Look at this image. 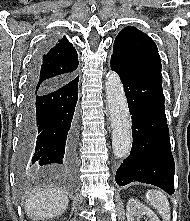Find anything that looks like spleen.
I'll return each mask as SVG.
<instances>
[{"instance_id":"3e777b00","label":"spleen","mask_w":190,"mask_h":221,"mask_svg":"<svg viewBox=\"0 0 190 221\" xmlns=\"http://www.w3.org/2000/svg\"><path fill=\"white\" fill-rule=\"evenodd\" d=\"M146 201L160 213L164 221H170V204L164 193L159 190H148Z\"/></svg>"}]
</instances>
